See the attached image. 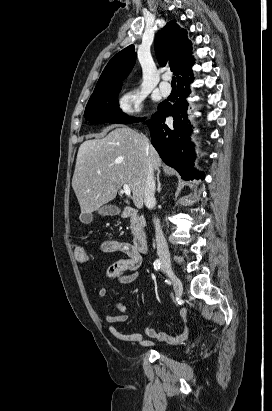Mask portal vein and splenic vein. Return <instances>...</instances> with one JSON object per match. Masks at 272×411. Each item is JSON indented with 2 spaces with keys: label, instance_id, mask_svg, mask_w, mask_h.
Wrapping results in <instances>:
<instances>
[{
  "label": "portal vein and splenic vein",
  "instance_id": "18ae733b",
  "mask_svg": "<svg viewBox=\"0 0 272 411\" xmlns=\"http://www.w3.org/2000/svg\"><path fill=\"white\" fill-rule=\"evenodd\" d=\"M123 192L125 193V195L130 196L131 195V190H130V186L126 183L123 184Z\"/></svg>",
  "mask_w": 272,
  "mask_h": 411
}]
</instances>
